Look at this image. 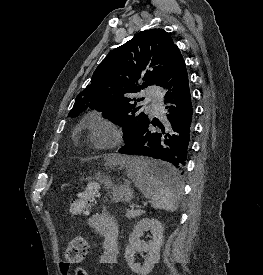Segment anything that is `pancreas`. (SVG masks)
Wrapping results in <instances>:
<instances>
[{
	"mask_svg": "<svg viewBox=\"0 0 263 275\" xmlns=\"http://www.w3.org/2000/svg\"><path fill=\"white\" fill-rule=\"evenodd\" d=\"M143 213L142 210H127L126 217L132 219L141 216Z\"/></svg>",
	"mask_w": 263,
	"mask_h": 275,
	"instance_id": "obj_1",
	"label": "pancreas"
}]
</instances>
